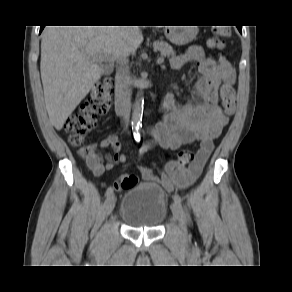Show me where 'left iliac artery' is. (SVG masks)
Here are the masks:
<instances>
[{
    "label": "left iliac artery",
    "instance_id": "obj_1",
    "mask_svg": "<svg viewBox=\"0 0 292 292\" xmlns=\"http://www.w3.org/2000/svg\"><path fill=\"white\" fill-rule=\"evenodd\" d=\"M173 200H174V202H177L181 206L182 199H181V197L179 195H174L173 196Z\"/></svg>",
    "mask_w": 292,
    "mask_h": 292
}]
</instances>
